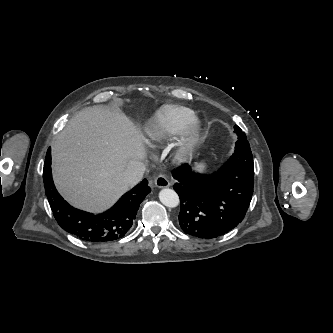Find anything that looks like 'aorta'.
<instances>
[{"mask_svg": "<svg viewBox=\"0 0 333 333\" xmlns=\"http://www.w3.org/2000/svg\"><path fill=\"white\" fill-rule=\"evenodd\" d=\"M161 203L167 207L174 208L179 205L178 194L169 188L162 189L159 193Z\"/></svg>", "mask_w": 333, "mask_h": 333, "instance_id": "1", "label": "aorta"}]
</instances>
